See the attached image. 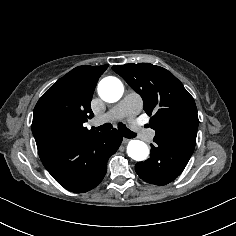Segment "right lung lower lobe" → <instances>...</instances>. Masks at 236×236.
I'll return each mask as SVG.
<instances>
[{
    "mask_svg": "<svg viewBox=\"0 0 236 236\" xmlns=\"http://www.w3.org/2000/svg\"><path fill=\"white\" fill-rule=\"evenodd\" d=\"M122 142L120 133H96L89 137L66 141L39 154L52 177L69 191L82 193L96 187L104 178L107 161Z\"/></svg>",
    "mask_w": 236,
    "mask_h": 236,
    "instance_id": "98d812e1",
    "label": "right lung lower lobe"
}]
</instances>
